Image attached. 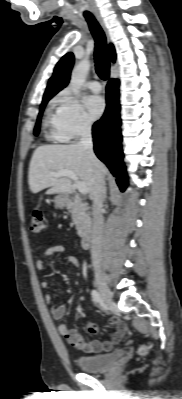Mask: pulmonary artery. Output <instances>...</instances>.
Segmentation results:
<instances>
[{"mask_svg":"<svg viewBox=\"0 0 182 399\" xmlns=\"http://www.w3.org/2000/svg\"><path fill=\"white\" fill-rule=\"evenodd\" d=\"M89 88L94 93H98L102 90V86H101L100 82H98V81H91L89 83Z\"/></svg>","mask_w":182,"mask_h":399,"instance_id":"pulmonary-artery-1","label":"pulmonary artery"}]
</instances>
